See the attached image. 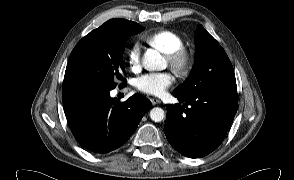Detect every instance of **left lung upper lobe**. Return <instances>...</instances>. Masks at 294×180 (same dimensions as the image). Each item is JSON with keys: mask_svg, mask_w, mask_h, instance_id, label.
<instances>
[{"mask_svg": "<svg viewBox=\"0 0 294 180\" xmlns=\"http://www.w3.org/2000/svg\"><path fill=\"white\" fill-rule=\"evenodd\" d=\"M197 51L190 76L174 91L180 94L227 92L237 94L232 64L218 42L204 29L197 27Z\"/></svg>", "mask_w": 294, "mask_h": 180, "instance_id": "left-lung-upper-lobe-1", "label": "left lung upper lobe"}]
</instances>
